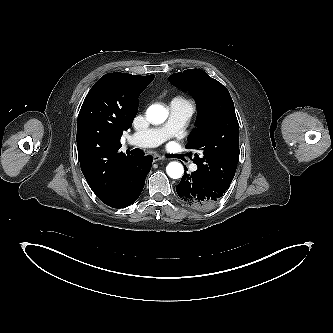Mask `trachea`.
I'll return each mask as SVG.
<instances>
[{"instance_id": "1", "label": "trachea", "mask_w": 333, "mask_h": 333, "mask_svg": "<svg viewBox=\"0 0 333 333\" xmlns=\"http://www.w3.org/2000/svg\"><path fill=\"white\" fill-rule=\"evenodd\" d=\"M131 154H133V155H137V156H142V155H144L143 151L140 150V149H138V148L132 150V151H131Z\"/></svg>"}]
</instances>
